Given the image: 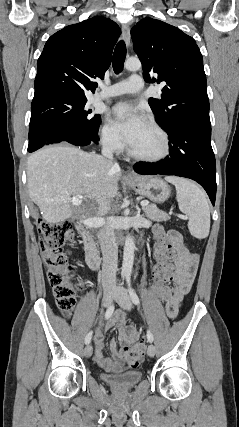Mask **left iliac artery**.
I'll return each mask as SVG.
<instances>
[{
  "mask_svg": "<svg viewBox=\"0 0 239 427\" xmlns=\"http://www.w3.org/2000/svg\"><path fill=\"white\" fill-rule=\"evenodd\" d=\"M126 281H127V285H128V292H129L130 298L134 304L138 305L140 303V300H139L138 295L136 294V292L134 291V289L131 286L130 276L126 277ZM147 339L149 342H153V335H152L150 330L147 331Z\"/></svg>",
  "mask_w": 239,
  "mask_h": 427,
  "instance_id": "obj_1",
  "label": "left iliac artery"
}]
</instances>
